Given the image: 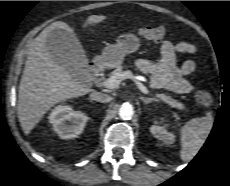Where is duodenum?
<instances>
[{
    "label": "duodenum",
    "instance_id": "410a0bca",
    "mask_svg": "<svg viewBox=\"0 0 230 186\" xmlns=\"http://www.w3.org/2000/svg\"><path fill=\"white\" fill-rule=\"evenodd\" d=\"M103 68V64L100 61L91 62L88 66L89 71L92 74L99 73Z\"/></svg>",
    "mask_w": 230,
    "mask_h": 186
}]
</instances>
